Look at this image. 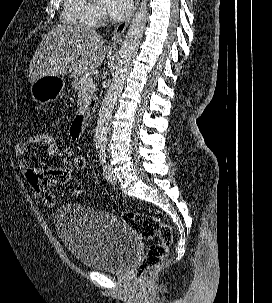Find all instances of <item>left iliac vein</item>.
<instances>
[{
  "label": "left iliac vein",
  "mask_w": 272,
  "mask_h": 303,
  "mask_svg": "<svg viewBox=\"0 0 272 303\" xmlns=\"http://www.w3.org/2000/svg\"><path fill=\"white\" fill-rule=\"evenodd\" d=\"M103 175L107 182L115 184L117 182V178L114 175L112 168L109 164H105L103 167Z\"/></svg>",
  "instance_id": "obj_1"
}]
</instances>
